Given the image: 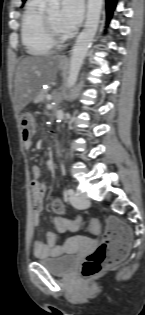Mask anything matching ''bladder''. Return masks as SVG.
I'll use <instances>...</instances> for the list:
<instances>
[{"label": "bladder", "mask_w": 145, "mask_h": 315, "mask_svg": "<svg viewBox=\"0 0 145 315\" xmlns=\"http://www.w3.org/2000/svg\"><path fill=\"white\" fill-rule=\"evenodd\" d=\"M76 249H93V248H76ZM37 261L44 265L52 274L66 275L77 264V256L61 255L55 258H37Z\"/></svg>", "instance_id": "obj_1"}]
</instances>
